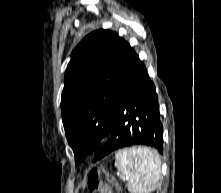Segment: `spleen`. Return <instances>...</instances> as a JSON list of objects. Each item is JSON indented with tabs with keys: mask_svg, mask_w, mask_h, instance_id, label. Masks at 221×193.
<instances>
[{
	"mask_svg": "<svg viewBox=\"0 0 221 193\" xmlns=\"http://www.w3.org/2000/svg\"><path fill=\"white\" fill-rule=\"evenodd\" d=\"M119 176L131 193H150L160 179L161 160L155 150L142 146H123L115 154Z\"/></svg>",
	"mask_w": 221,
	"mask_h": 193,
	"instance_id": "obj_1",
	"label": "spleen"
}]
</instances>
